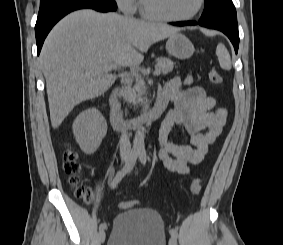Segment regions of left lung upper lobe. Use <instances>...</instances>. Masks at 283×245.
<instances>
[{"mask_svg": "<svg viewBox=\"0 0 283 245\" xmlns=\"http://www.w3.org/2000/svg\"><path fill=\"white\" fill-rule=\"evenodd\" d=\"M199 22L238 32L237 14L232 0H205V9Z\"/></svg>", "mask_w": 283, "mask_h": 245, "instance_id": "1", "label": "left lung upper lobe"}]
</instances>
